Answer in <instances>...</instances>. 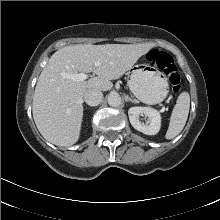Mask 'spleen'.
I'll use <instances>...</instances> for the list:
<instances>
[{"label": "spleen", "mask_w": 220, "mask_h": 220, "mask_svg": "<svg viewBox=\"0 0 220 220\" xmlns=\"http://www.w3.org/2000/svg\"><path fill=\"white\" fill-rule=\"evenodd\" d=\"M189 109L190 95L188 92H182L178 96L176 105L171 113L169 127L165 134L166 139H173L180 134L188 119Z\"/></svg>", "instance_id": "1"}]
</instances>
